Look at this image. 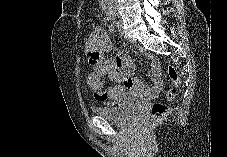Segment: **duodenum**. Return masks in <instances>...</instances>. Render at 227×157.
Segmentation results:
<instances>
[{
    "instance_id": "duodenum-1",
    "label": "duodenum",
    "mask_w": 227,
    "mask_h": 157,
    "mask_svg": "<svg viewBox=\"0 0 227 157\" xmlns=\"http://www.w3.org/2000/svg\"><path fill=\"white\" fill-rule=\"evenodd\" d=\"M106 23H115V15H106Z\"/></svg>"
}]
</instances>
